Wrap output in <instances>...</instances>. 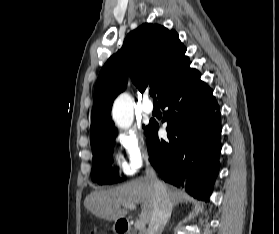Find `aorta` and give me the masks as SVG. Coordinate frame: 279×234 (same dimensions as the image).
Instances as JSON below:
<instances>
[{
	"label": "aorta",
	"mask_w": 279,
	"mask_h": 234,
	"mask_svg": "<svg viewBox=\"0 0 279 234\" xmlns=\"http://www.w3.org/2000/svg\"><path fill=\"white\" fill-rule=\"evenodd\" d=\"M112 116L119 128L127 129L133 123V102L129 94L119 95L113 104Z\"/></svg>",
	"instance_id": "762f6f07"
}]
</instances>
